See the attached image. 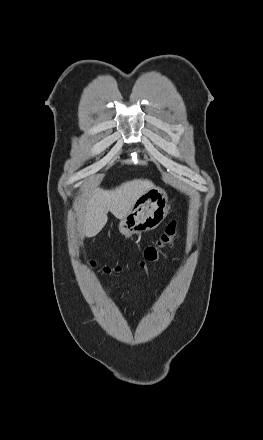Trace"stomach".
<instances>
[{"label":"stomach","instance_id":"1","mask_svg":"<svg viewBox=\"0 0 263 440\" xmlns=\"http://www.w3.org/2000/svg\"><path fill=\"white\" fill-rule=\"evenodd\" d=\"M170 210L168 195L160 187H150L133 203L128 215L120 222V232L126 236L157 228Z\"/></svg>","mask_w":263,"mask_h":440}]
</instances>
